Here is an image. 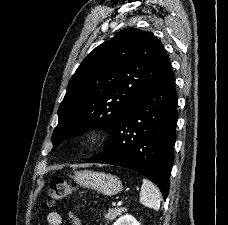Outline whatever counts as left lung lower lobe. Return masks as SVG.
<instances>
[{"label":"left lung lower lobe","instance_id":"obj_1","mask_svg":"<svg viewBox=\"0 0 228 225\" xmlns=\"http://www.w3.org/2000/svg\"><path fill=\"white\" fill-rule=\"evenodd\" d=\"M177 98L169 62L109 132L111 136L105 149L86 162L136 171L155 183L166 200L174 159Z\"/></svg>","mask_w":228,"mask_h":225}]
</instances>
